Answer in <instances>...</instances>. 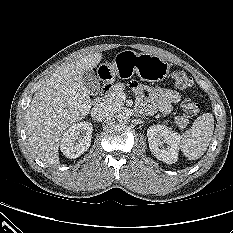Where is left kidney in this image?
Instances as JSON below:
<instances>
[{"mask_svg": "<svg viewBox=\"0 0 233 233\" xmlns=\"http://www.w3.org/2000/svg\"><path fill=\"white\" fill-rule=\"evenodd\" d=\"M149 147L152 154L166 164L178 159L180 135L165 125H153L147 130Z\"/></svg>", "mask_w": 233, "mask_h": 233, "instance_id": "left-kidney-1", "label": "left kidney"}]
</instances>
